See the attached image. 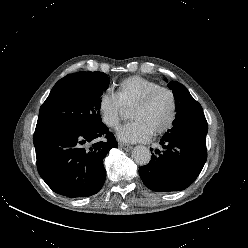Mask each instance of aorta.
Instances as JSON below:
<instances>
[{"label":"aorta","instance_id":"obj_1","mask_svg":"<svg viewBox=\"0 0 248 248\" xmlns=\"http://www.w3.org/2000/svg\"><path fill=\"white\" fill-rule=\"evenodd\" d=\"M132 158L138 165H146L151 160V152L147 147L138 145L132 151Z\"/></svg>","mask_w":248,"mask_h":248}]
</instances>
